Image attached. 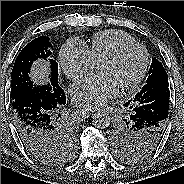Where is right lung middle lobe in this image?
<instances>
[{"label": "right lung middle lobe", "instance_id": "1", "mask_svg": "<svg viewBox=\"0 0 184 184\" xmlns=\"http://www.w3.org/2000/svg\"><path fill=\"white\" fill-rule=\"evenodd\" d=\"M47 36H40L28 43L19 53L12 70L11 99L20 96H35L47 98L51 92L59 88L58 85V63L49 59L51 64V84L38 86L33 84L29 77L32 63L37 59H44L51 55L52 45ZM54 138L47 144L27 148L29 152L44 164H55L62 159L65 152L74 147V129L69 123L55 124Z\"/></svg>", "mask_w": 184, "mask_h": 184}]
</instances>
